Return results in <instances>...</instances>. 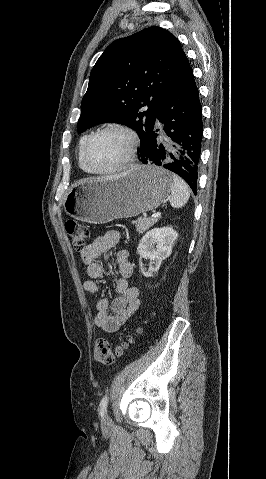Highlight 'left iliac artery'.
<instances>
[{
    "label": "left iliac artery",
    "instance_id": "obj_1",
    "mask_svg": "<svg viewBox=\"0 0 266 479\" xmlns=\"http://www.w3.org/2000/svg\"><path fill=\"white\" fill-rule=\"evenodd\" d=\"M107 404H108V396L105 395L103 396L99 404V414L101 417H103L106 412Z\"/></svg>",
    "mask_w": 266,
    "mask_h": 479
}]
</instances>
